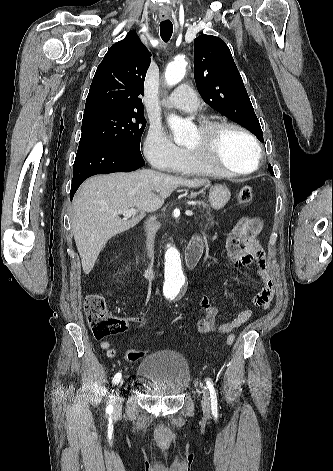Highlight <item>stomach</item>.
<instances>
[{
    "label": "stomach",
    "mask_w": 333,
    "mask_h": 471,
    "mask_svg": "<svg viewBox=\"0 0 333 471\" xmlns=\"http://www.w3.org/2000/svg\"><path fill=\"white\" fill-rule=\"evenodd\" d=\"M231 193L224 185H215L210 188L209 203L215 210L222 209L229 201Z\"/></svg>",
    "instance_id": "obj_1"
}]
</instances>
